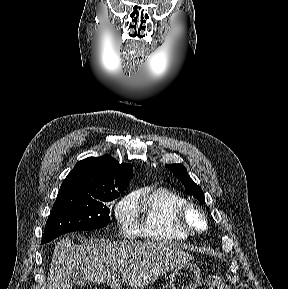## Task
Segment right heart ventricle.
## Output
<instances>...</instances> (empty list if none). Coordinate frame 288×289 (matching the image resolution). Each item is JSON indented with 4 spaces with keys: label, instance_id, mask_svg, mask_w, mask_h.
<instances>
[{
    "label": "right heart ventricle",
    "instance_id": "obj_1",
    "mask_svg": "<svg viewBox=\"0 0 288 289\" xmlns=\"http://www.w3.org/2000/svg\"><path fill=\"white\" fill-rule=\"evenodd\" d=\"M139 219L138 233L158 242H180L190 234L180 225L178 209L188 202L179 192L167 187L145 188L132 198Z\"/></svg>",
    "mask_w": 288,
    "mask_h": 289
}]
</instances>
